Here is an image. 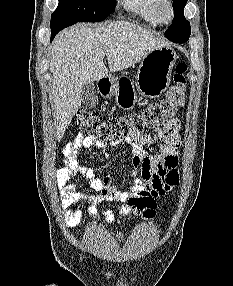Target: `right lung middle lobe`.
<instances>
[{"label": "right lung middle lobe", "mask_w": 233, "mask_h": 286, "mask_svg": "<svg viewBox=\"0 0 233 286\" xmlns=\"http://www.w3.org/2000/svg\"><path fill=\"white\" fill-rule=\"evenodd\" d=\"M112 11L113 0H59V5L51 16V27L103 21Z\"/></svg>", "instance_id": "dd1d6c3e"}]
</instances>
